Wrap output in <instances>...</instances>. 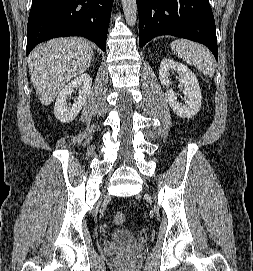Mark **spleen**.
Returning <instances> with one entry per match:
<instances>
[{"label":"spleen","instance_id":"3e777b00","mask_svg":"<svg viewBox=\"0 0 253 271\" xmlns=\"http://www.w3.org/2000/svg\"><path fill=\"white\" fill-rule=\"evenodd\" d=\"M170 46L178 57L187 64L196 67L202 74L209 77L214 75L213 56L203 45L186 39H177Z\"/></svg>","mask_w":253,"mask_h":271}]
</instances>
